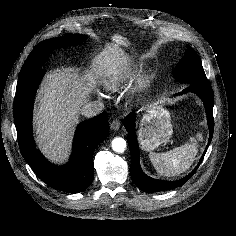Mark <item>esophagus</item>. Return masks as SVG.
Here are the masks:
<instances>
[{
  "instance_id": "obj_1",
  "label": "esophagus",
  "mask_w": 236,
  "mask_h": 236,
  "mask_svg": "<svg viewBox=\"0 0 236 236\" xmlns=\"http://www.w3.org/2000/svg\"><path fill=\"white\" fill-rule=\"evenodd\" d=\"M110 127H111L112 130H118L119 127H120V122H119V120L114 119V120L111 122Z\"/></svg>"
}]
</instances>
